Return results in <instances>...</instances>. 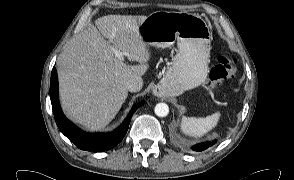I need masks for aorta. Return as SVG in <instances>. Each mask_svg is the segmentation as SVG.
Listing matches in <instances>:
<instances>
[{
	"label": "aorta",
	"mask_w": 294,
	"mask_h": 180,
	"mask_svg": "<svg viewBox=\"0 0 294 180\" xmlns=\"http://www.w3.org/2000/svg\"><path fill=\"white\" fill-rule=\"evenodd\" d=\"M154 112L158 117H165L169 113V107L166 103H158L155 106Z\"/></svg>",
	"instance_id": "aorta-1"
}]
</instances>
